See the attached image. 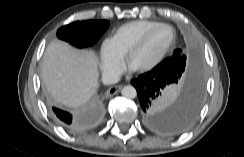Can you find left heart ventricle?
<instances>
[{"mask_svg":"<svg viewBox=\"0 0 244 157\" xmlns=\"http://www.w3.org/2000/svg\"><path fill=\"white\" fill-rule=\"evenodd\" d=\"M172 38L173 31L170 28L161 27L153 31L133 56L131 67L137 69L151 63L171 43Z\"/></svg>","mask_w":244,"mask_h":157,"instance_id":"obj_1","label":"left heart ventricle"}]
</instances>
